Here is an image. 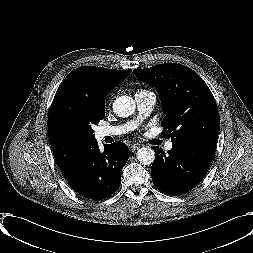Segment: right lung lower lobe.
I'll return each instance as SVG.
<instances>
[{
	"label": "right lung lower lobe",
	"instance_id": "right-lung-lower-lobe-1",
	"mask_svg": "<svg viewBox=\"0 0 253 253\" xmlns=\"http://www.w3.org/2000/svg\"><path fill=\"white\" fill-rule=\"evenodd\" d=\"M104 147L100 151L96 142L66 178L76 192L93 200L104 199L119 188L121 171L129 157V149L121 141Z\"/></svg>",
	"mask_w": 253,
	"mask_h": 253
}]
</instances>
